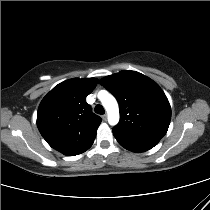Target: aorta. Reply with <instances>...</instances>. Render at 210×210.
Masks as SVG:
<instances>
[{
    "label": "aorta",
    "instance_id": "1",
    "mask_svg": "<svg viewBox=\"0 0 210 210\" xmlns=\"http://www.w3.org/2000/svg\"><path fill=\"white\" fill-rule=\"evenodd\" d=\"M98 98L101 100L103 107L108 114V122L110 125L114 126L119 122V107L118 103L113 95L107 91H100L98 93Z\"/></svg>",
    "mask_w": 210,
    "mask_h": 210
}]
</instances>
